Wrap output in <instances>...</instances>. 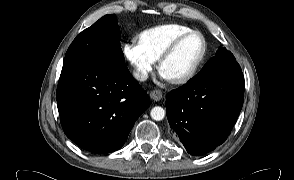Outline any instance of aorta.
Here are the masks:
<instances>
[{"label":"aorta","mask_w":294,"mask_h":180,"mask_svg":"<svg viewBox=\"0 0 294 180\" xmlns=\"http://www.w3.org/2000/svg\"><path fill=\"white\" fill-rule=\"evenodd\" d=\"M150 116L156 121H160L165 117V110L160 106H155L150 111Z\"/></svg>","instance_id":"762f6f07"}]
</instances>
